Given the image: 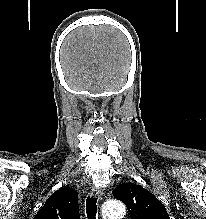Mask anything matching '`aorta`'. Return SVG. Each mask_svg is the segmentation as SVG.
I'll list each match as a JSON object with an SVG mask.
<instances>
[{"instance_id": "aorta-1", "label": "aorta", "mask_w": 206, "mask_h": 219, "mask_svg": "<svg viewBox=\"0 0 206 219\" xmlns=\"http://www.w3.org/2000/svg\"><path fill=\"white\" fill-rule=\"evenodd\" d=\"M125 212V205L119 200L109 201L102 208L104 219H121Z\"/></svg>"}]
</instances>
